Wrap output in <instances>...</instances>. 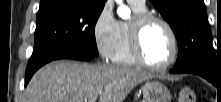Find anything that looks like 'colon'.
<instances>
[{
	"mask_svg": "<svg viewBox=\"0 0 221 102\" xmlns=\"http://www.w3.org/2000/svg\"><path fill=\"white\" fill-rule=\"evenodd\" d=\"M179 102H197L196 93L191 88H183L179 93Z\"/></svg>",
	"mask_w": 221,
	"mask_h": 102,
	"instance_id": "obj_1",
	"label": "colon"
}]
</instances>
